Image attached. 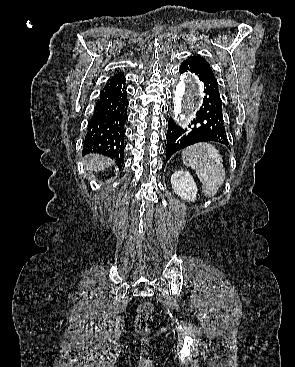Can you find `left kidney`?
Returning <instances> with one entry per match:
<instances>
[{
    "label": "left kidney",
    "mask_w": 295,
    "mask_h": 367,
    "mask_svg": "<svg viewBox=\"0 0 295 367\" xmlns=\"http://www.w3.org/2000/svg\"><path fill=\"white\" fill-rule=\"evenodd\" d=\"M171 185L181 199L192 202L196 200L197 186L189 172L175 171L171 176Z\"/></svg>",
    "instance_id": "5707ae66"
}]
</instances>
